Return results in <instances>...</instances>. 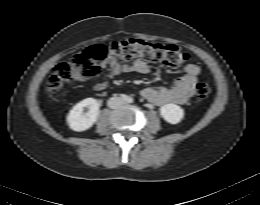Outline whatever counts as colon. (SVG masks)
<instances>
[{"mask_svg":"<svg viewBox=\"0 0 260 205\" xmlns=\"http://www.w3.org/2000/svg\"><path fill=\"white\" fill-rule=\"evenodd\" d=\"M109 54L120 63L141 59L171 68H180L189 60V54L175 45L153 44L137 39L114 41L108 45L95 44L55 67L46 85L47 94L53 96L66 84L97 77L102 70V61ZM194 93L198 99H205L210 94V87L205 82H199Z\"/></svg>","mask_w":260,"mask_h":205,"instance_id":"5ec220e1","label":"colon"}]
</instances>
